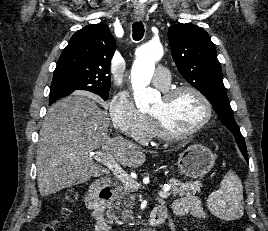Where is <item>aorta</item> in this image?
Instances as JSON below:
<instances>
[{
	"label": "aorta",
	"mask_w": 268,
	"mask_h": 231,
	"mask_svg": "<svg viewBox=\"0 0 268 231\" xmlns=\"http://www.w3.org/2000/svg\"><path fill=\"white\" fill-rule=\"evenodd\" d=\"M163 56L160 43L149 42L140 47L131 69V83L134 90V100L137 108L144 112L150 109V104L160 97V93L149 87L155 63Z\"/></svg>",
	"instance_id": "aorta-1"
}]
</instances>
